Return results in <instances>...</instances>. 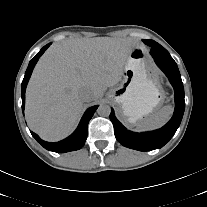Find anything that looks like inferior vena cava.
Wrapping results in <instances>:
<instances>
[{
    "label": "inferior vena cava",
    "instance_id": "inferior-vena-cava-1",
    "mask_svg": "<svg viewBox=\"0 0 207 207\" xmlns=\"http://www.w3.org/2000/svg\"><path fill=\"white\" fill-rule=\"evenodd\" d=\"M83 100H88L90 98V93L88 91H84L81 95Z\"/></svg>",
    "mask_w": 207,
    "mask_h": 207
}]
</instances>
